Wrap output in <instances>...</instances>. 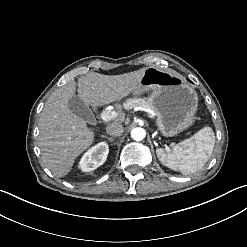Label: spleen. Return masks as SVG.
I'll list each match as a JSON object with an SVG mask.
<instances>
[{"mask_svg":"<svg viewBox=\"0 0 247 247\" xmlns=\"http://www.w3.org/2000/svg\"><path fill=\"white\" fill-rule=\"evenodd\" d=\"M215 145V134L211 127H204L194 136L170 150L157 149V157L163 165L189 175L201 170L209 160Z\"/></svg>","mask_w":247,"mask_h":247,"instance_id":"3e777b00","label":"spleen"}]
</instances>
